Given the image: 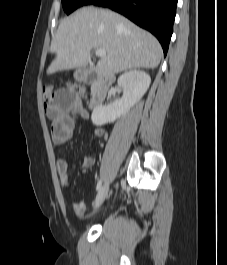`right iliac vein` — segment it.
I'll return each mask as SVG.
<instances>
[{
    "label": "right iliac vein",
    "instance_id": "obj_1",
    "mask_svg": "<svg viewBox=\"0 0 227 265\" xmlns=\"http://www.w3.org/2000/svg\"><path fill=\"white\" fill-rule=\"evenodd\" d=\"M108 191H109V183H105L101 187V189L99 190V192H98V194L96 196V199H95V201L93 203V208L94 209H97L103 203V201L107 197Z\"/></svg>",
    "mask_w": 227,
    "mask_h": 265
}]
</instances>
